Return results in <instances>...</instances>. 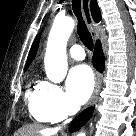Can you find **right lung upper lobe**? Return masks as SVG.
<instances>
[{
	"instance_id": "1",
	"label": "right lung upper lobe",
	"mask_w": 136,
	"mask_h": 136,
	"mask_svg": "<svg viewBox=\"0 0 136 136\" xmlns=\"http://www.w3.org/2000/svg\"><path fill=\"white\" fill-rule=\"evenodd\" d=\"M90 8H91V13H92V17H93L94 21L99 22L101 20V12H100V9L97 5L96 0H91ZM39 38H40V35H38L33 42V45L31 47V50H30L28 58H27V63L25 66L26 68L30 65V63L33 61V59L36 55L38 44H39Z\"/></svg>"
}]
</instances>
